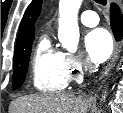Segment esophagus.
I'll use <instances>...</instances> for the list:
<instances>
[{"label": "esophagus", "mask_w": 123, "mask_h": 113, "mask_svg": "<svg viewBox=\"0 0 123 113\" xmlns=\"http://www.w3.org/2000/svg\"><path fill=\"white\" fill-rule=\"evenodd\" d=\"M116 59H117V47L115 48L113 52L111 63L105 68L104 72L100 75L99 80L102 79L110 71Z\"/></svg>", "instance_id": "34e87169"}]
</instances>
